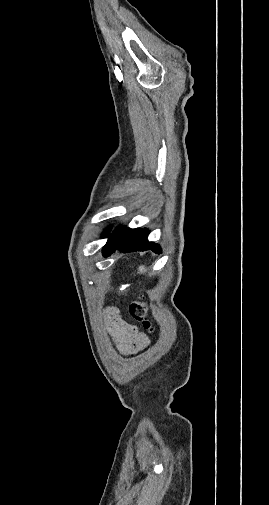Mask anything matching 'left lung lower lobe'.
<instances>
[{
  "instance_id": "left-lung-lower-lobe-1",
  "label": "left lung lower lobe",
  "mask_w": 269,
  "mask_h": 505,
  "mask_svg": "<svg viewBox=\"0 0 269 505\" xmlns=\"http://www.w3.org/2000/svg\"><path fill=\"white\" fill-rule=\"evenodd\" d=\"M148 233L141 228L130 229L127 227H118L112 234H107L106 245L103 247V255L107 257L115 250H123L124 252L152 250L155 253H160L159 245L147 240Z\"/></svg>"
}]
</instances>
